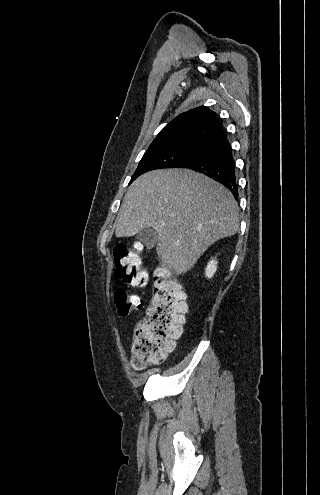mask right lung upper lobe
<instances>
[{
    "label": "right lung upper lobe",
    "instance_id": "1",
    "mask_svg": "<svg viewBox=\"0 0 320 495\" xmlns=\"http://www.w3.org/2000/svg\"><path fill=\"white\" fill-rule=\"evenodd\" d=\"M222 131L223 128L217 114L207 107L201 106L174 118L160 131L151 145L183 139H202L207 141Z\"/></svg>",
    "mask_w": 320,
    "mask_h": 495
}]
</instances>
